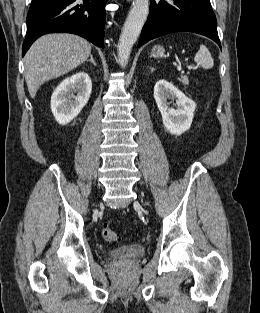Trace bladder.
Returning <instances> with one entry per match:
<instances>
[{"label":"bladder","mask_w":260,"mask_h":313,"mask_svg":"<svg viewBox=\"0 0 260 313\" xmlns=\"http://www.w3.org/2000/svg\"><path fill=\"white\" fill-rule=\"evenodd\" d=\"M145 253V246L141 243H131L111 250L108 256L111 259H129L140 257Z\"/></svg>","instance_id":"31cf9c89"}]
</instances>
